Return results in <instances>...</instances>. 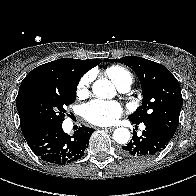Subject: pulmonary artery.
<instances>
[{
    "mask_svg": "<svg viewBox=\"0 0 196 196\" xmlns=\"http://www.w3.org/2000/svg\"><path fill=\"white\" fill-rule=\"evenodd\" d=\"M130 85H131V81H127V82L122 83L121 85H119L118 88L121 92H126V91L129 90Z\"/></svg>",
    "mask_w": 196,
    "mask_h": 196,
    "instance_id": "obj_1",
    "label": "pulmonary artery"
}]
</instances>
